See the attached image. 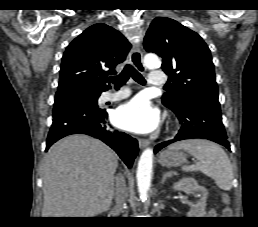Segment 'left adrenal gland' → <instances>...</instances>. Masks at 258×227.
<instances>
[{"instance_id":"a2214340","label":"left adrenal gland","mask_w":258,"mask_h":227,"mask_svg":"<svg viewBox=\"0 0 258 227\" xmlns=\"http://www.w3.org/2000/svg\"><path fill=\"white\" fill-rule=\"evenodd\" d=\"M174 174H175L174 171H169V172L164 173L163 178H162V183H164L165 180H166L168 177H171V176H173Z\"/></svg>"}]
</instances>
